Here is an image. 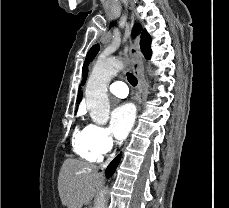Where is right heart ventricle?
Segmentation results:
<instances>
[{"label":"right heart ventricle","instance_id":"right-heart-ventricle-1","mask_svg":"<svg viewBox=\"0 0 229 208\" xmlns=\"http://www.w3.org/2000/svg\"><path fill=\"white\" fill-rule=\"evenodd\" d=\"M93 77V76H92ZM73 150L83 159L96 161L101 155L89 144L88 128H77L72 138Z\"/></svg>","mask_w":229,"mask_h":208}]
</instances>
